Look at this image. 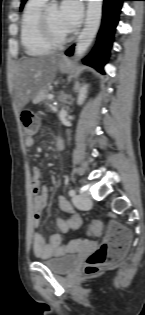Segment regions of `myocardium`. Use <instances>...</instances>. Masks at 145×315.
<instances>
[{
  "label": "myocardium",
  "instance_id": "myocardium-1",
  "mask_svg": "<svg viewBox=\"0 0 145 315\" xmlns=\"http://www.w3.org/2000/svg\"><path fill=\"white\" fill-rule=\"evenodd\" d=\"M39 29L43 39L52 47L58 48L67 44L72 37V34L69 33L66 37L62 39H58L54 36L51 26H50V18H49V7L45 8L42 11L39 20Z\"/></svg>",
  "mask_w": 145,
  "mask_h": 315
}]
</instances>
